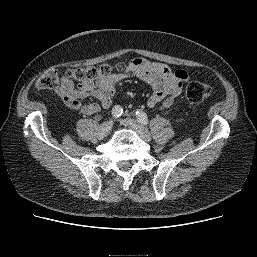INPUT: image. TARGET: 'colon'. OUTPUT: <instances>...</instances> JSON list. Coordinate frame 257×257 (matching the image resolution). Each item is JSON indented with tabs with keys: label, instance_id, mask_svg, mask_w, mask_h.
<instances>
[{
	"label": "colon",
	"instance_id": "5ec220e1",
	"mask_svg": "<svg viewBox=\"0 0 257 257\" xmlns=\"http://www.w3.org/2000/svg\"><path fill=\"white\" fill-rule=\"evenodd\" d=\"M125 69L122 63L115 65L101 64L90 65L85 67H77L68 69L66 75L68 78L77 81L79 84L91 85L106 78L114 71H123ZM58 73L55 70L45 72L38 80V87L40 89H54L58 85ZM211 87L203 82H190L185 90L186 99L190 103H200L211 96Z\"/></svg>",
	"mask_w": 257,
	"mask_h": 257
}]
</instances>
